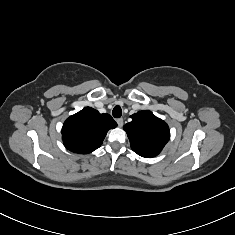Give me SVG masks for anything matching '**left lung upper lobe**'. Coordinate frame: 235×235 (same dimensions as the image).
<instances>
[{"label":"left lung upper lobe","mask_w":235,"mask_h":235,"mask_svg":"<svg viewBox=\"0 0 235 235\" xmlns=\"http://www.w3.org/2000/svg\"><path fill=\"white\" fill-rule=\"evenodd\" d=\"M131 118L124 130L132 150L146 158L158 155L170 138L168 125L148 110L139 111Z\"/></svg>","instance_id":"obj_1"}]
</instances>
